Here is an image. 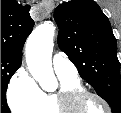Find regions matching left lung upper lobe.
Returning <instances> with one entry per match:
<instances>
[{"label": "left lung upper lobe", "instance_id": "1", "mask_svg": "<svg viewBox=\"0 0 121 113\" xmlns=\"http://www.w3.org/2000/svg\"><path fill=\"white\" fill-rule=\"evenodd\" d=\"M58 44L112 113H121L120 64L110 22L93 0H71L54 12Z\"/></svg>", "mask_w": 121, "mask_h": 113}]
</instances>
